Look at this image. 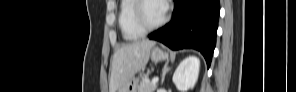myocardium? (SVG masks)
Listing matches in <instances>:
<instances>
[{"label": "myocardium", "instance_id": "myocardium-1", "mask_svg": "<svg viewBox=\"0 0 296 92\" xmlns=\"http://www.w3.org/2000/svg\"><path fill=\"white\" fill-rule=\"evenodd\" d=\"M148 2L147 0H138L135 3L134 11H133V19L135 24L144 32L153 31L161 27L167 20L166 12H164L163 17L155 24H148L144 18V6Z\"/></svg>", "mask_w": 296, "mask_h": 92}]
</instances>
